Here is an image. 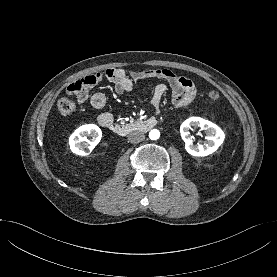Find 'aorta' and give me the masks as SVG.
<instances>
[{
	"label": "aorta",
	"mask_w": 277,
	"mask_h": 277,
	"mask_svg": "<svg viewBox=\"0 0 277 277\" xmlns=\"http://www.w3.org/2000/svg\"><path fill=\"white\" fill-rule=\"evenodd\" d=\"M160 137V132L157 129H153L149 133V138L151 140H157Z\"/></svg>",
	"instance_id": "aorta-1"
}]
</instances>
